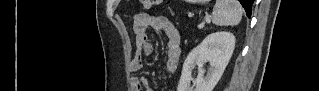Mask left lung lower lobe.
I'll use <instances>...</instances> for the list:
<instances>
[{
  "label": "left lung lower lobe",
  "instance_id": "0a47b994",
  "mask_svg": "<svg viewBox=\"0 0 319 91\" xmlns=\"http://www.w3.org/2000/svg\"><path fill=\"white\" fill-rule=\"evenodd\" d=\"M239 1L243 5L247 16L250 18V16H251V6H252V3L254 2V0H239Z\"/></svg>",
  "mask_w": 319,
  "mask_h": 91
}]
</instances>
